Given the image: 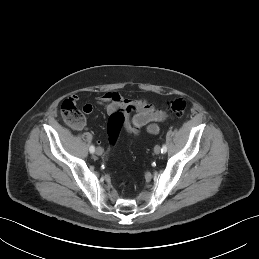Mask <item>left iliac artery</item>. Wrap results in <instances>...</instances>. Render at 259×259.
I'll return each mask as SVG.
<instances>
[{
    "mask_svg": "<svg viewBox=\"0 0 259 259\" xmlns=\"http://www.w3.org/2000/svg\"><path fill=\"white\" fill-rule=\"evenodd\" d=\"M167 152V146L163 145L161 148V153H166Z\"/></svg>",
    "mask_w": 259,
    "mask_h": 259,
    "instance_id": "44dca946",
    "label": "left iliac artery"
}]
</instances>
